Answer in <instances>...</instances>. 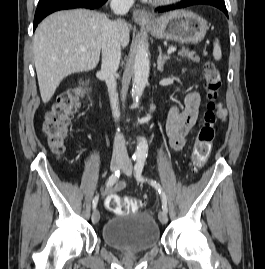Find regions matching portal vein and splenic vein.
Listing matches in <instances>:
<instances>
[{
    "mask_svg": "<svg viewBox=\"0 0 265 269\" xmlns=\"http://www.w3.org/2000/svg\"><path fill=\"white\" fill-rule=\"evenodd\" d=\"M83 51H85V50H83ZM176 51V48L175 47H170L169 49H168V54H171V53H173V52H175Z\"/></svg>",
    "mask_w": 265,
    "mask_h": 269,
    "instance_id": "1",
    "label": "portal vein and splenic vein"
}]
</instances>
